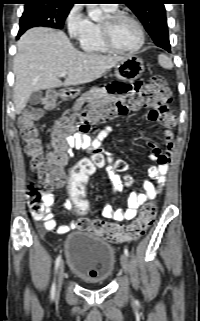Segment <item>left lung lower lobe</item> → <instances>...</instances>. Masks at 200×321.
Here are the masks:
<instances>
[{
  "instance_id": "obj_1",
  "label": "left lung lower lobe",
  "mask_w": 200,
  "mask_h": 321,
  "mask_svg": "<svg viewBox=\"0 0 200 321\" xmlns=\"http://www.w3.org/2000/svg\"><path fill=\"white\" fill-rule=\"evenodd\" d=\"M165 50H167L168 52H170V46H169V47H166Z\"/></svg>"
}]
</instances>
